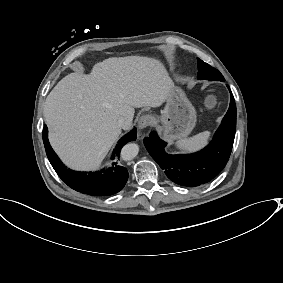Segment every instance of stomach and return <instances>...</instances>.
Returning a JSON list of instances; mask_svg holds the SVG:
<instances>
[{
    "instance_id": "0dacf381",
    "label": "stomach",
    "mask_w": 283,
    "mask_h": 283,
    "mask_svg": "<svg viewBox=\"0 0 283 283\" xmlns=\"http://www.w3.org/2000/svg\"><path fill=\"white\" fill-rule=\"evenodd\" d=\"M165 137L174 140L190 132L195 123V111L180 90H173L163 112Z\"/></svg>"
}]
</instances>
